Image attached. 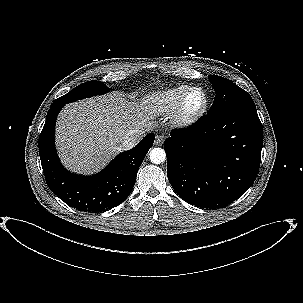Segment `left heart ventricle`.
<instances>
[{
    "instance_id": "1",
    "label": "left heart ventricle",
    "mask_w": 303,
    "mask_h": 303,
    "mask_svg": "<svg viewBox=\"0 0 303 303\" xmlns=\"http://www.w3.org/2000/svg\"><path fill=\"white\" fill-rule=\"evenodd\" d=\"M202 102H203L202 94L196 91L190 95L187 105L190 110H195L201 106Z\"/></svg>"
}]
</instances>
